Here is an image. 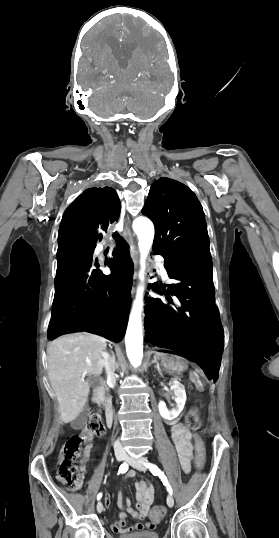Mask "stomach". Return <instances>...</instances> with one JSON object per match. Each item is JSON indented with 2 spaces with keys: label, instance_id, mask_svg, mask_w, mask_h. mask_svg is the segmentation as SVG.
I'll return each mask as SVG.
<instances>
[{
  "label": "stomach",
  "instance_id": "1",
  "mask_svg": "<svg viewBox=\"0 0 279 538\" xmlns=\"http://www.w3.org/2000/svg\"><path fill=\"white\" fill-rule=\"evenodd\" d=\"M155 358L160 360L163 368H166V370H172V372H176L177 369H181L183 365L182 359L179 358L178 353H161L157 354Z\"/></svg>",
  "mask_w": 279,
  "mask_h": 538
}]
</instances>
